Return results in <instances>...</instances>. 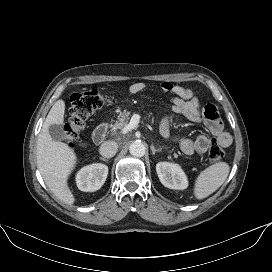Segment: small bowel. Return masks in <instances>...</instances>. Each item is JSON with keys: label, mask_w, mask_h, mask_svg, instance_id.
<instances>
[{"label": "small bowel", "mask_w": 272, "mask_h": 272, "mask_svg": "<svg viewBox=\"0 0 272 272\" xmlns=\"http://www.w3.org/2000/svg\"><path fill=\"white\" fill-rule=\"evenodd\" d=\"M153 88V85L147 82H136L129 86L130 94H138L144 90ZM159 90L170 96V111L184 116L191 122H203L217 140L223 146L228 147L231 144V136L224 131L223 124L214 105L208 104L203 111L200 109L199 99L194 96L192 90L170 82L160 84ZM160 133L163 137L171 135V117L165 116L160 123ZM210 138L204 134L195 139L184 138L180 141L181 151L186 155L204 154L210 146Z\"/></svg>", "instance_id": "1"}]
</instances>
